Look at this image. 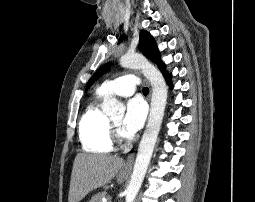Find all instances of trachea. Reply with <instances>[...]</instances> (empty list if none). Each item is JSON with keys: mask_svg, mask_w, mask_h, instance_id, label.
I'll list each match as a JSON object with an SVG mask.
<instances>
[{"mask_svg": "<svg viewBox=\"0 0 255 202\" xmlns=\"http://www.w3.org/2000/svg\"><path fill=\"white\" fill-rule=\"evenodd\" d=\"M143 93H144V94H148V93H149V89H148L147 87H144V88H143Z\"/></svg>", "mask_w": 255, "mask_h": 202, "instance_id": "1", "label": "trachea"}]
</instances>
